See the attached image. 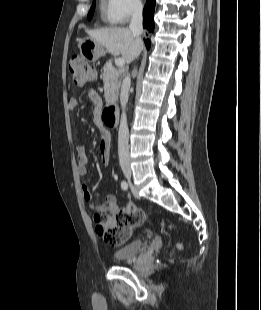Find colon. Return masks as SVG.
<instances>
[{"instance_id": "1", "label": "colon", "mask_w": 261, "mask_h": 310, "mask_svg": "<svg viewBox=\"0 0 261 310\" xmlns=\"http://www.w3.org/2000/svg\"><path fill=\"white\" fill-rule=\"evenodd\" d=\"M71 80L76 88H84L95 80V69L82 57L74 56L69 62ZM121 210L114 214L96 215V231L110 246L125 243L134 227H142L143 208H137L134 200H129Z\"/></svg>"}]
</instances>
